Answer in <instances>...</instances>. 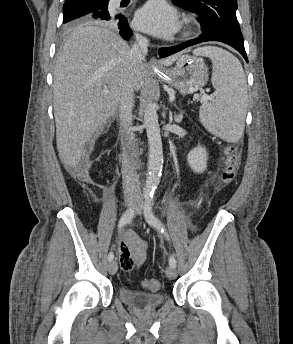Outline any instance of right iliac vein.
Listing matches in <instances>:
<instances>
[{"instance_id":"right-iliac-vein-1","label":"right iliac vein","mask_w":293,"mask_h":344,"mask_svg":"<svg viewBox=\"0 0 293 344\" xmlns=\"http://www.w3.org/2000/svg\"><path fill=\"white\" fill-rule=\"evenodd\" d=\"M135 205V202L132 200H129L126 202L127 207H133ZM118 270V265L116 261H111L108 265V271L111 275H114Z\"/></svg>"}]
</instances>
